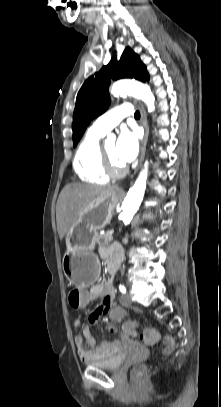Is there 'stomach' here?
I'll return each mask as SVG.
<instances>
[{"label": "stomach", "mask_w": 221, "mask_h": 407, "mask_svg": "<svg viewBox=\"0 0 221 407\" xmlns=\"http://www.w3.org/2000/svg\"><path fill=\"white\" fill-rule=\"evenodd\" d=\"M118 201L119 194L113 189L100 194L65 234L67 250L62 267L75 286H87L97 280L100 265L93 250L98 230L110 223Z\"/></svg>", "instance_id": "0dacf381"}]
</instances>
